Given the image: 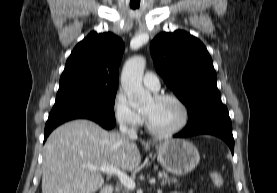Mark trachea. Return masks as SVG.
Segmentation results:
<instances>
[{"mask_svg": "<svg viewBox=\"0 0 277 193\" xmlns=\"http://www.w3.org/2000/svg\"><path fill=\"white\" fill-rule=\"evenodd\" d=\"M138 6L137 5H131V8L136 9Z\"/></svg>", "mask_w": 277, "mask_h": 193, "instance_id": "3493384b", "label": "trachea"}]
</instances>
